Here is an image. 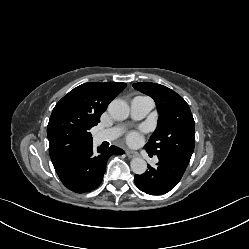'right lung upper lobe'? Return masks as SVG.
<instances>
[{
  "label": "right lung upper lobe",
  "instance_id": "obj_1",
  "mask_svg": "<svg viewBox=\"0 0 249 249\" xmlns=\"http://www.w3.org/2000/svg\"><path fill=\"white\" fill-rule=\"evenodd\" d=\"M125 83L88 82L65 95L54 107L48 127L49 154L57 173L92 144L89 130Z\"/></svg>",
  "mask_w": 249,
  "mask_h": 249
}]
</instances>
